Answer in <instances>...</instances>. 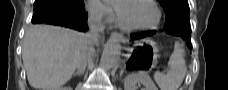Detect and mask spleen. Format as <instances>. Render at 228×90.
I'll use <instances>...</instances> for the list:
<instances>
[{
    "label": "spleen",
    "mask_w": 228,
    "mask_h": 90,
    "mask_svg": "<svg viewBox=\"0 0 228 90\" xmlns=\"http://www.w3.org/2000/svg\"><path fill=\"white\" fill-rule=\"evenodd\" d=\"M184 51L180 44H176L170 56L167 74L156 72L154 80L160 90H178L186 75V64L183 55Z\"/></svg>",
    "instance_id": "obj_1"
}]
</instances>
